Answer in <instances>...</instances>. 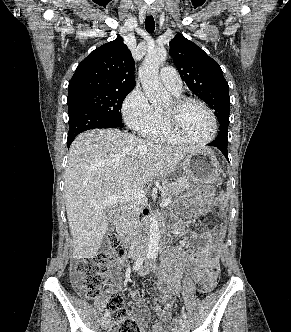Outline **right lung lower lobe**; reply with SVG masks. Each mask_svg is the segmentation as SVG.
<instances>
[{"mask_svg": "<svg viewBox=\"0 0 291 332\" xmlns=\"http://www.w3.org/2000/svg\"><path fill=\"white\" fill-rule=\"evenodd\" d=\"M95 128L114 127L103 115L96 113L92 109L86 106L75 107L73 111L69 113V133L67 138L68 148L78 134Z\"/></svg>", "mask_w": 291, "mask_h": 332, "instance_id": "98d812e1", "label": "right lung lower lobe"}]
</instances>
